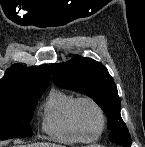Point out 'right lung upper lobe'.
Masks as SVG:
<instances>
[{"label": "right lung upper lobe", "mask_w": 145, "mask_h": 147, "mask_svg": "<svg viewBox=\"0 0 145 147\" xmlns=\"http://www.w3.org/2000/svg\"><path fill=\"white\" fill-rule=\"evenodd\" d=\"M49 81L50 69L48 65L26 67L14 64L0 79V94L20 89L47 87Z\"/></svg>", "instance_id": "right-lung-upper-lobe-1"}]
</instances>
